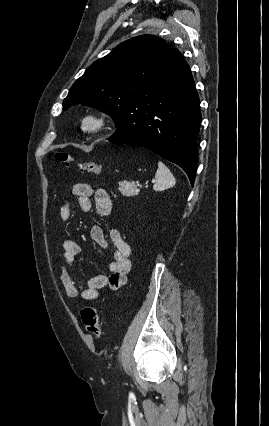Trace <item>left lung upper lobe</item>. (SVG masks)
<instances>
[{
	"instance_id": "left-lung-upper-lobe-1",
	"label": "left lung upper lobe",
	"mask_w": 269,
	"mask_h": 426,
	"mask_svg": "<svg viewBox=\"0 0 269 426\" xmlns=\"http://www.w3.org/2000/svg\"><path fill=\"white\" fill-rule=\"evenodd\" d=\"M170 46L153 35H141L119 44L107 56L95 61L72 85L63 110L81 103L109 114L116 126L133 97L147 90L152 77L171 52Z\"/></svg>"
}]
</instances>
